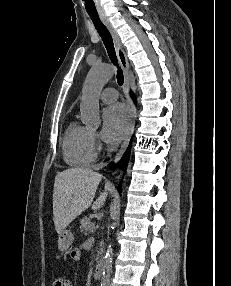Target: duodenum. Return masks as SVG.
Wrapping results in <instances>:
<instances>
[{
	"label": "duodenum",
	"mask_w": 231,
	"mask_h": 286,
	"mask_svg": "<svg viewBox=\"0 0 231 286\" xmlns=\"http://www.w3.org/2000/svg\"><path fill=\"white\" fill-rule=\"evenodd\" d=\"M102 273H103V263L102 262H98L95 266V270H94V277L97 280H100L102 277Z\"/></svg>",
	"instance_id": "410a0bca"
}]
</instances>
